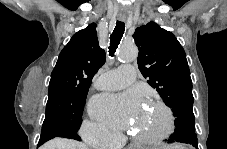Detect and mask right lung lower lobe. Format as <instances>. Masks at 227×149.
<instances>
[{"mask_svg":"<svg viewBox=\"0 0 227 149\" xmlns=\"http://www.w3.org/2000/svg\"><path fill=\"white\" fill-rule=\"evenodd\" d=\"M54 137H63V138L81 140L80 137L77 135V133H73V132H68V133H63V134H56L54 132H46V133L41 134L40 140L38 142V146H41L46 141L53 139Z\"/></svg>","mask_w":227,"mask_h":149,"instance_id":"1","label":"right lung lower lobe"}]
</instances>
